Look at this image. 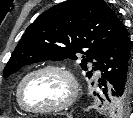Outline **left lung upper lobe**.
<instances>
[{"mask_svg":"<svg viewBox=\"0 0 133 118\" xmlns=\"http://www.w3.org/2000/svg\"><path fill=\"white\" fill-rule=\"evenodd\" d=\"M121 26V21L104 0H67L43 12L26 29L3 75L8 77L22 66L42 60H76L79 52L84 54L80 65L91 78L92 71L87 64L95 59L93 66H96ZM106 98L112 115L125 114L131 104L130 93L117 101L110 96Z\"/></svg>","mask_w":133,"mask_h":118,"instance_id":"obj_1","label":"left lung upper lobe"}]
</instances>
